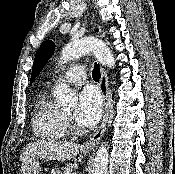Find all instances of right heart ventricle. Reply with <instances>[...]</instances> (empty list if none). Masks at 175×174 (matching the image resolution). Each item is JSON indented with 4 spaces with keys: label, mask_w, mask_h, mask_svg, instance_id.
<instances>
[{
    "label": "right heart ventricle",
    "mask_w": 175,
    "mask_h": 174,
    "mask_svg": "<svg viewBox=\"0 0 175 174\" xmlns=\"http://www.w3.org/2000/svg\"><path fill=\"white\" fill-rule=\"evenodd\" d=\"M32 127L35 135L43 140L57 141L67 135L64 114L47 92L41 94L35 102Z\"/></svg>",
    "instance_id": "right-heart-ventricle-1"
}]
</instances>
